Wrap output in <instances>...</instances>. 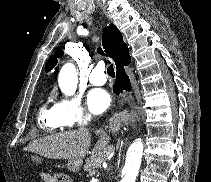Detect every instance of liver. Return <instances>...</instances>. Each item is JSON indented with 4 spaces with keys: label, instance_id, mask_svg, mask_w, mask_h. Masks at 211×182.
Returning <instances> with one entry per match:
<instances>
[{
    "label": "liver",
    "instance_id": "liver-1",
    "mask_svg": "<svg viewBox=\"0 0 211 182\" xmlns=\"http://www.w3.org/2000/svg\"><path fill=\"white\" fill-rule=\"evenodd\" d=\"M100 138L96 142L93 152L97 153L106 148L109 137L101 130L95 131ZM91 136L87 129L62 132L29 143L26 150L50 159H81L88 153Z\"/></svg>",
    "mask_w": 211,
    "mask_h": 182
}]
</instances>
